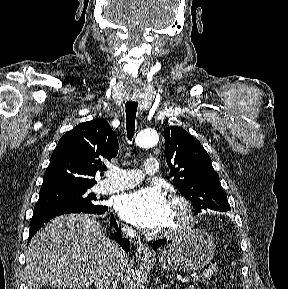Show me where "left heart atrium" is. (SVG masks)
Here are the masks:
<instances>
[{
	"mask_svg": "<svg viewBox=\"0 0 288 289\" xmlns=\"http://www.w3.org/2000/svg\"><path fill=\"white\" fill-rule=\"evenodd\" d=\"M115 209L125 221L142 228L162 227L169 217V202L154 186L118 196Z\"/></svg>",
	"mask_w": 288,
	"mask_h": 289,
	"instance_id": "1",
	"label": "left heart atrium"
}]
</instances>
